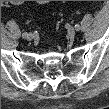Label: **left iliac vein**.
<instances>
[{"label":"left iliac vein","instance_id":"4c4485c4","mask_svg":"<svg viewBox=\"0 0 109 109\" xmlns=\"http://www.w3.org/2000/svg\"><path fill=\"white\" fill-rule=\"evenodd\" d=\"M75 33H76V31H75V29H74L73 27H69V28L67 29V34H68V36H69L70 38H74Z\"/></svg>","mask_w":109,"mask_h":109}]
</instances>
